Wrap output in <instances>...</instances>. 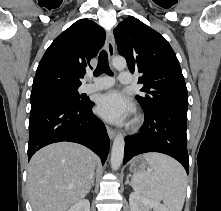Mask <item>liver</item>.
Segmentation results:
<instances>
[{
    "label": "liver",
    "instance_id": "liver-1",
    "mask_svg": "<svg viewBox=\"0 0 221 211\" xmlns=\"http://www.w3.org/2000/svg\"><path fill=\"white\" fill-rule=\"evenodd\" d=\"M97 156L70 142L37 151L28 165L27 187L33 211H66L82 200L91 186Z\"/></svg>",
    "mask_w": 221,
    "mask_h": 211
}]
</instances>
